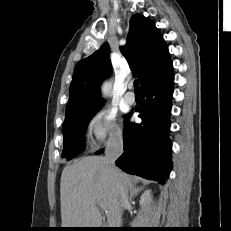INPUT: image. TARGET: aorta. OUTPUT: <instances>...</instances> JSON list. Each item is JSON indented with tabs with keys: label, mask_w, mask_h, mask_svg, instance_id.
Listing matches in <instances>:
<instances>
[{
	"label": "aorta",
	"mask_w": 231,
	"mask_h": 231,
	"mask_svg": "<svg viewBox=\"0 0 231 231\" xmlns=\"http://www.w3.org/2000/svg\"><path fill=\"white\" fill-rule=\"evenodd\" d=\"M109 90V83H105L102 87L103 94L106 95Z\"/></svg>",
	"instance_id": "obj_1"
}]
</instances>
